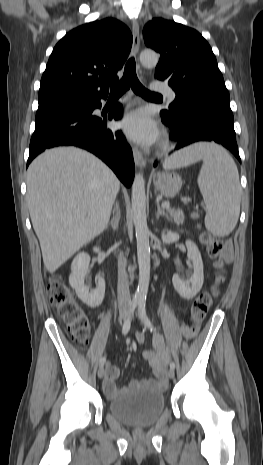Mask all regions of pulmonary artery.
Wrapping results in <instances>:
<instances>
[{
  "instance_id": "pulmonary-artery-1",
  "label": "pulmonary artery",
  "mask_w": 263,
  "mask_h": 465,
  "mask_svg": "<svg viewBox=\"0 0 263 465\" xmlns=\"http://www.w3.org/2000/svg\"><path fill=\"white\" fill-rule=\"evenodd\" d=\"M153 90L166 94L170 99H175L176 93L167 85H153Z\"/></svg>"
}]
</instances>
